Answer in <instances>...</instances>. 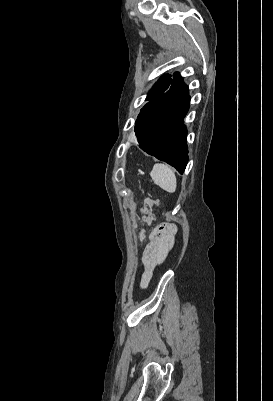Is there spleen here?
Segmentation results:
<instances>
[{
  "label": "spleen",
  "instance_id": "1",
  "mask_svg": "<svg viewBox=\"0 0 273 401\" xmlns=\"http://www.w3.org/2000/svg\"><path fill=\"white\" fill-rule=\"evenodd\" d=\"M151 178H153L155 184H159L164 190L168 192H175L176 190V176L167 164H154L151 172Z\"/></svg>",
  "mask_w": 273,
  "mask_h": 401
}]
</instances>
